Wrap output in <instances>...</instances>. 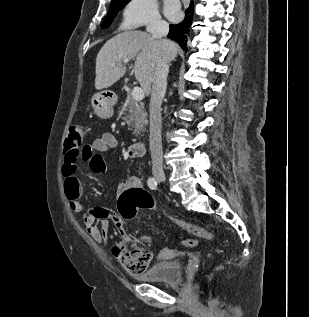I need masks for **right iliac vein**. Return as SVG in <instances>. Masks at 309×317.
I'll list each match as a JSON object with an SVG mask.
<instances>
[{
    "instance_id": "1",
    "label": "right iliac vein",
    "mask_w": 309,
    "mask_h": 317,
    "mask_svg": "<svg viewBox=\"0 0 309 317\" xmlns=\"http://www.w3.org/2000/svg\"><path fill=\"white\" fill-rule=\"evenodd\" d=\"M154 176L157 179V181L165 182V174H164V172L157 170V171L154 172Z\"/></svg>"
}]
</instances>
